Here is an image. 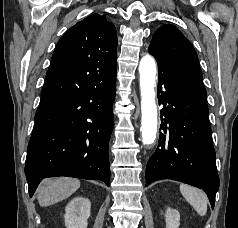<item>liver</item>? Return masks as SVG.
I'll use <instances>...</instances> for the list:
<instances>
[{
  "label": "liver",
  "mask_w": 238,
  "mask_h": 228,
  "mask_svg": "<svg viewBox=\"0 0 238 228\" xmlns=\"http://www.w3.org/2000/svg\"><path fill=\"white\" fill-rule=\"evenodd\" d=\"M80 187V181L73 178H56L42 181L38 188L37 200L41 207L60 202L71 196Z\"/></svg>",
  "instance_id": "1"
}]
</instances>
